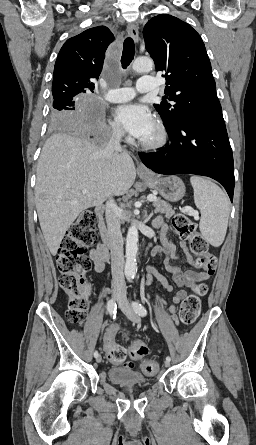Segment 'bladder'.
<instances>
[{"label":"bladder","instance_id":"bladder-1","mask_svg":"<svg viewBox=\"0 0 256 445\" xmlns=\"http://www.w3.org/2000/svg\"><path fill=\"white\" fill-rule=\"evenodd\" d=\"M107 376L112 383L123 386H147L150 384V380L141 372L126 366L109 369Z\"/></svg>","mask_w":256,"mask_h":445}]
</instances>
